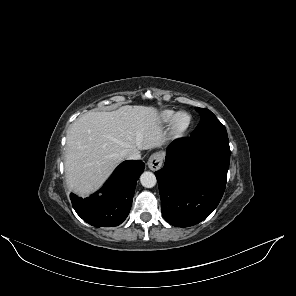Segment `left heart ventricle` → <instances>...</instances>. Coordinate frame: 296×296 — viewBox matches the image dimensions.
<instances>
[{
	"mask_svg": "<svg viewBox=\"0 0 296 296\" xmlns=\"http://www.w3.org/2000/svg\"><path fill=\"white\" fill-rule=\"evenodd\" d=\"M181 121H182V122L185 121V118L183 117V118L181 119Z\"/></svg>",
	"mask_w": 296,
	"mask_h": 296,
	"instance_id": "1",
	"label": "left heart ventricle"
}]
</instances>
